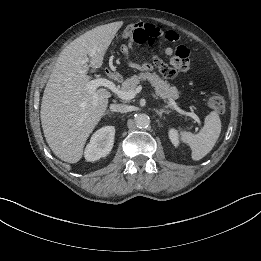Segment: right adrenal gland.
Instances as JSON below:
<instances>
[{"label":"right adrenal gland","instance_id":"2a0ac1e0","mask_svg":"<svg viewBox=\"0 0 261 261\" xmlns=\"http://www.w3.org/2000/svg\"><path fill=\"white\" fill-rule=\"evenodd\" d=\"M106 114H113V113H111V112H107Z\"/></svg>","mask_w":261,"mask_h":261}]
</instances>
